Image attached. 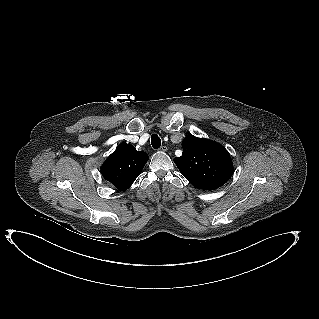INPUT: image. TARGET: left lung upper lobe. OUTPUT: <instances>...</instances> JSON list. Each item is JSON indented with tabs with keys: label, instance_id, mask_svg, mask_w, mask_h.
Here are the masks:
<instances>
[{
	"label": "left lung upper lobe",
	"instance_id": "1",
	"mask_svg": "<svg viewBox=\"0 0 319 319\" xmlns=\"http://www.w3.org/2000/svg\"><path fill=\"white\" fill-rule=\"evenodd\" d=\"M183 154L174 159L184 177L196 188L215 190L233 174L228 151L220 144L188 135L182 142Z\"/></svg>",
	"mask_w": 319,
	"mask_h": 319
}]
</instances>
